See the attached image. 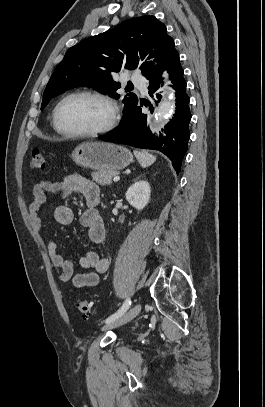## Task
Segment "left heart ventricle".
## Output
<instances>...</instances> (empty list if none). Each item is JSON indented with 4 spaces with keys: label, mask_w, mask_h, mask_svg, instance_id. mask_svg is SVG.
Wrapping results in <instances>:
<instances>
[{
    "label": "left heart ventricle",
    "mask_w": 265,
    "mask_h": 407,
    "mask_svg": "<svg viewBox=\"0 0 265 407\" xmlns=\"http://www.w3.org/2000/svg\"><path fill=\"white\" fill-rule=\"evenodd\" d=\"M106 104L95 98L76 96L66 100L59 112V121L67 131L87 132L103 127L109 120Z\"/></svg>",
    "instance_id": "1"
}]
</instances>
